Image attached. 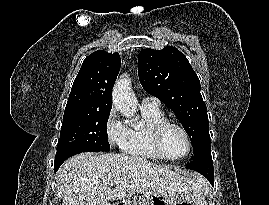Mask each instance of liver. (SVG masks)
<instances>
[{"mask_svg":"<svg viewBox=\"0 0 269 205\" xmlns=\"http://www.w3.org/2000/svg\"><path fill=\"white\" fill-rule=\"evenodd\" d=\"M115 178L123 181L111 189ZM63 205H107L135 193L164 197L204 194L205 180L192 172H175L145 159L121 154L81 153L57 173Z\"/></svg>","mask_w":269,"mask_h":205,"instance_id":"6515ba94","label":"liver"}]
</instances>
